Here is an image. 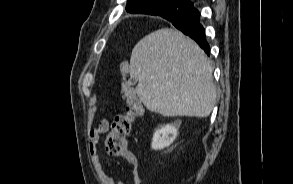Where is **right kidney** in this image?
Returning <instances> with one entry per match:
<instances>
[{"instance_id": "right-kidney-1", "label": "right kidney", "mask_w": 293, "mask_h": 184, "mask_svg": "<svg viewBox=\"0 0 293 184\" xmlns=\"http://www.w3.org/2000/svg\"><path fill=\"white\" fill-rule=\"evenodd\" d=\"M180 125L181 121H175L156 130L152 138V149L161 150L169 147L176 139Z\"/></svg>"}]
</instances>
